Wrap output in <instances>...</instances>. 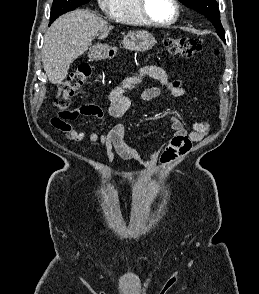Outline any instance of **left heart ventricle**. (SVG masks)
Returning a JSON list of instances; mask_svg holds the SVG:
<instances>
[{
	"label": "left heart ventricle",
	"instance_id": "left-heart-ventricle-1",
	"mask_svg": "<svg viewBox=\"0 0 259 294\" xmlns=\"http://www.w3.org/2000/svg\"><path fill=\"white\" fill-rule=\"evenodd\" d=\"M149 15L158 22H168L175 14L174 5L171 0H147Z\"/></svg>",
	"mask_w": 259,
	"mask_h": 294
}]
</instances>
